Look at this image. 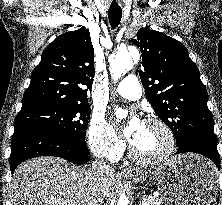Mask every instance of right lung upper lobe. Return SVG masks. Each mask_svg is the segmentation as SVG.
Masks as SVG:
<instances>
[{"label":"right lung upper lobe","mask_w":222,"mask_h":205,"mask_svg":"<svg viewBox=\"0 0 222 205\" xmlns=\"http://www.w3.org/2000/svg\"><path fill=\"white\" fill-rule=\"evenodd\" d=\"M93 60L94 49L85 27L57 37L32 72L20 112L52 104H88L87 91L95 73Z\"/></svg>","instance_id":"right-lung-upper-lobe-1"}]
</instances>
